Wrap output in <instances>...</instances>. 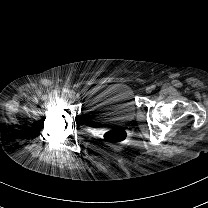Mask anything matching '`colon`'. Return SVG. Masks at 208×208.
Wrapping results in <instances>:
<instances>
[{
	"mask_svg": "<svg viewBox=\"0 0 208 208\" xmlns=\"http://www.w3.org/2000/svg\"><path fill=\"white\" fill-rule=\"evenodd\" d=\"M127 131L123 128H114L103 135V140L108 145L123 143L127 138Z\"/></svg>",
	"mask_w": 208,
	"mask_h": 208,
	"instance_id": "1",
	"label": "colon"
}]
</instances>
